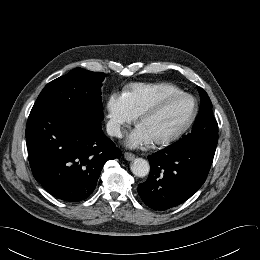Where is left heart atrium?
<instances>
[{"mask_svg": "<svg viewBox=\"0 0 260 260\" xmlns=\"http://www.w3.org/2000/svg\"><path fill=\"white\" fill-rule=\"evenodd\" d=\"M152 142V137L147 131L140 125L134 131H132L126 140V145L130 148H139Z\"/></svg>", "mask_w": 260, "mask_h": 260, "instance_id": "1", "label": "left heart atrium"}]
</instances>
